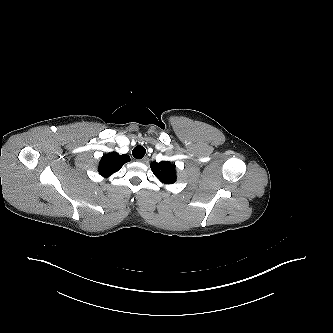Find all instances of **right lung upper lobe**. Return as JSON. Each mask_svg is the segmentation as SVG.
Listing matches in <instances>:
<instances>
[{
	"instance_id": "cb5924a9",
	"label": "right lung upper lobe",
	"mask_w": 333,
	"mask_h": 333,
	"mask_svg": "<svg viewBox=\"0 0 333 333\" xmlns=\"http://www.w3.org/2000/svg\"><path fill=\"white\" fill-rule=\"evenodd\" d=\"M129 161L130 157L126 154L120 155L116 152L108 153L102 156L98 171L103 177H109L119 171L121 167Z\"/></svg>"
}]
</instances>
